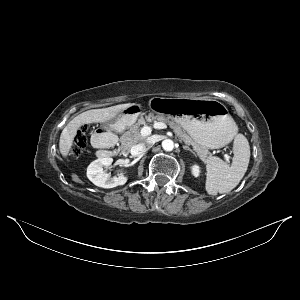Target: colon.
Wrapping results in <instances>:
<instances>
[{
	"mask_svg": "<svg viewBox=\"0 0 300 300\" xmlns=\"http://www.w3.org/2000/svg\"><path fill=\"white\" fill-rule=\"evenodd\" d=\"M87 143L86 129L82 128L76 135L73 145L70 148V156L78 158L82 155Z\"/></svg>",
	"mask_w": 300,
	"mask_h": 300,
	"instance_id": "colon-1",
	"label": "colon"
}]
</instances>
